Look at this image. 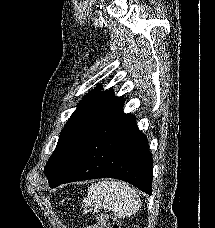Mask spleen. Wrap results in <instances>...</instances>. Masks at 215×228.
I'll use <instances>...</instances> for the list:
<instances>
[{"label": "spleen", "instance_id": "spleen-1", "mask_svg": "<svg viewBox=\"0 0 215 228\" xmlns=\"http://www.w3.org/2000/svg\"><path fill=\"white\" fill-rule=\"evenodd\" d=\"M85 204L107 208L112 210L117 218H130L141 208V200L135 190L126 182H114V180H102L92 184L87 190Z\"/></svg>", "mask_w": 215, "mask_h": 228}]
</instances>
